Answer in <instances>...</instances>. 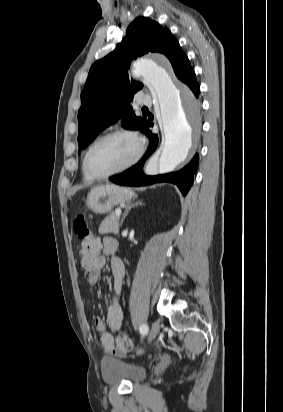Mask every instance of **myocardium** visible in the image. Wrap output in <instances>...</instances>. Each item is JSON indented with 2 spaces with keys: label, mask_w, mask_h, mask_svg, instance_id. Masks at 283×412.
<instances>
[{
  "label": "myocardium",
  "mask_w": 283,
  "mask_h": 412,
  "mask_svg": "<svg viewBox=\"0 0 283 412\" xmlns=\"http://www.w3.org/2000/svg\"><path fill=\"white\" fill-rule=\"evenodd\" d=\"M128 136L130 138H132L137 146V151L135 156L124 166L111 171L109 173L106 174H96L95 172L92 171V169L89 166V158L90 155L92 153V151L103 141L114 137V136ZM144 153V144L140 138V136L133 130L131 129H127V128H119V129H114L111 130L105 134H103L102 136H100L99 138H97L87 149L85 156H84V160H83V165L84 168L86 170V172L88 173V175L92 178V179H96V180H103V179H107L110 178L114 175L120 174L128 169H130L131 167H133L143 156Z\"/></svg>",
  "instance_id": "myocardium-1"
}]
</instances>
